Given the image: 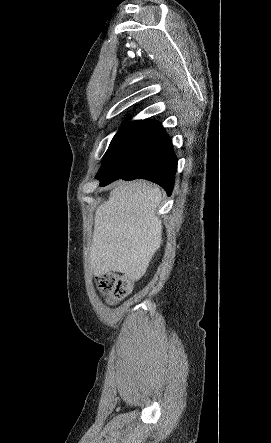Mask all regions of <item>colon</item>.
<instances>
[{"label":"colon","instance_id":"1","mask_svg":"<svg viewBox=\"0 0 271 443\" xmlns=\"http://www.w3.org/2000/svg\"><path fill=\"white\" fill-rule=\"evenodd\" d=\"M95 282L102 293L116 299L125 298L133 288L131 279L122 273L99 274Z\"/></svg>","mask_w":271,"mask_h":443}]
</instances>
